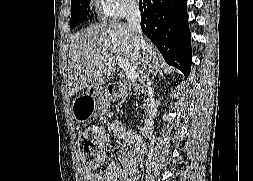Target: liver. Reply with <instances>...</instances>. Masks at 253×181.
<instances>
[{
  "instance_id": "liver-1",
  "label": "liver",
  "mask_w": 253,
  "mask_h": 181,
  "mask_svg": "<svg viewBox=\"0 0 253 181\" xmlns=\"http://www.w3.org/2000/svg\"><path fill=\"white\" fill-rule=\"evenodd\" d=\"M145 41L149 63L144 61L135 33L126 23H96L76 33L68 59L69 95L108 82L115 73L117 57L126 59L136 71L138 81L145 82L151 72L162 67L159 51L148 39Z\"/></svg>"
}]
</instances>
